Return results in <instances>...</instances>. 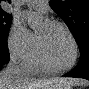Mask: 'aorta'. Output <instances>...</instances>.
I'll return each instance as SVG.
<instances>
[{"instance_id": "762f6f07", "label": "aorta", "mask_w": 89, "mask_h": 89, "mask_svg": "<svg viewBox=\"0 0 89 89\" xmlns=\"http://www.w3.org/2000/svg\"><path fill=\"white\" fill-rule=\"evenodd\" d=\"M41 19H42V17L39 14H37L31 10L28 12V25L30 27L37 25Z\"/></svg>"}]
</instances>
